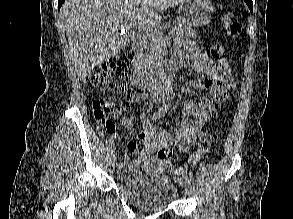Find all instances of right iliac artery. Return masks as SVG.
<instances>
[{"label": "right iliac artery", "instance_id": "1", "mask_svg": "<svg viewBox=\"0 0 293 219\" xmlns=\"http://www.w3.org/2000/svg\"><path fill=\"white\" fill-rule=\"evenodd\" d=\"M162 98H163V106L157 112L154 113V115L152 117L153 120L159 119L162 116H164L168 112V110L171 106L169 92H163ZM109 152H110L111 156L115 155V151L110 148H109Z\"/></svg>", "mask_w": 293, "mask_h": 219}]
</instances>
